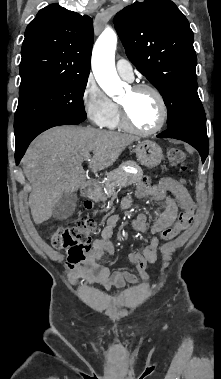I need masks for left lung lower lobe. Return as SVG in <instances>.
Instances as JSON below:
<instances>
[{"label":"left lung lower lobe","instance_id":"1","mask_svg":"<svg viewBox=\"0 0 221 379\" xmlns=\"http://www.w3.org/2000/svg\"><path fill=\"white\" fill-rule=\"evenodd\" d=\"M159 138H174L183 140L193 147H195L200 155L202 162L204 163L208 155V137L206 132L199 131L191 127H174L165 130L164 132L157 135Z\"/></svg>","mask_w":221,"mask_h":379}]
</instances>
